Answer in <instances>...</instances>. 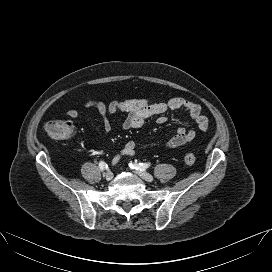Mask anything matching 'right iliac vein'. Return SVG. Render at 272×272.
<instances>
[{"label": "right iliac vein", "instance_id": "right-iliac-vein-1", "mask_svg": "<svg viewBox=\"0 0 272 272\" xmlns=\"http://www.w3.org/2000/svg\"><path fill=\"white\" fill-rule=\"evenodd\" d=\"M104 176L107 181H110L113 178V173L111 171H107Z\"/></svg>", "mask_w": 272, "mask_h": 272}]
</instances>
